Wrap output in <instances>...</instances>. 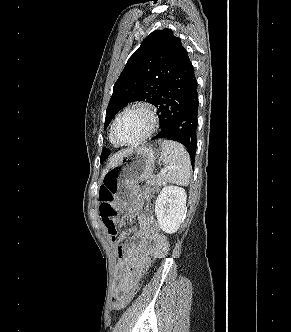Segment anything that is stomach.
Wrapping results in <instances>:
<instances>
[{"label":"stomach","mask_w":291,"mask_h":332,"mask_svg":"<svg viewBox=\"0 0 291 332\" xmlns=\"http://www.w3.org/2000/svg\"><path fill=\"white\" fill-rule=\"evenodd\" d=\"M157 155L151 147H138L125 154L102 178L104 186L128 211L140 206L138 183L148 179L155 166Z\"/></svg>","instance_id":"1"}]
</instances>
